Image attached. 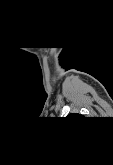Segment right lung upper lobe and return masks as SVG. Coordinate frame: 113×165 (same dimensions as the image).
I'll list each match as a JSON object with an SVG mask.
<instances>
[{"instance_id": "1", "label": "right lung upper lobe", "mask_w": 113, "mask_h": 165, "mask_svg": "<svg viewBox=\"0 0 113 165\" xmlns=\"http://www.w3.org/2000/svg\"><path fill=\"white\" fill-rule=\"evenodd\" d=\"M68 117H76V118H80V117H82V116L79 115V114H71V115H69Z\"/></svg>"}]
</instances>
